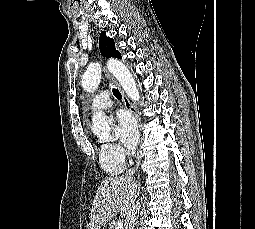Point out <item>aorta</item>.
<instances>
[{
  "instance_id": "aorta-1",
  "label": "aorta",
  "mask_w": 255,
  "mask_h": 229,
  "mask_svg": "<svg viewBox=\"0 0 255 229\" xmlns=\"http://www.w3.org/2000/svg\"><path fill=\"white\" fill-rule=\"evenodd\" d=\"M107 68L110 73L118 80L128 97L139 102L140 94L136 82L127 66L117 59H110L107 62ZM101 65L92 63L87 67L82 77V87L87 92H93L97 89L101 79ZM93 133L102 142L113 141L115 137L111 135V119L104 112H95L92 116Z\"/></svg>"
}]
</instances>
